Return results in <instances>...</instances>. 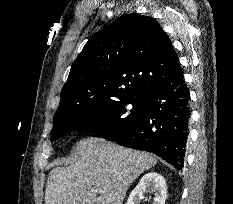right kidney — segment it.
Listing matches in <instances>:
<instances>
[{"mask_svg":"<svg viewBox=\"0 0 233 204\" xmlns=\"http://www.w3.org/2000/svg\"><path fill=\"white\" fill-rule=\"evenodd\" d=\"M145 192L154 193L152 204H165L167 186L163 176L156 172L145 174L129 195L126 204H139Z\"/></svg>","mask_w":233,"mask_h":204,"instance_id":"ca27d5eb","label":"right kidney"}]
</instances>
